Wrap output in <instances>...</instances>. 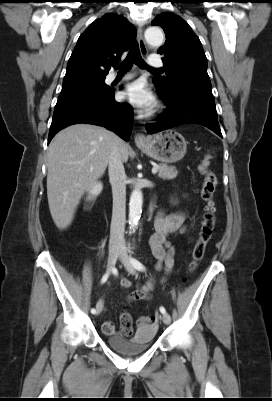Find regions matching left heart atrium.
<instances>
[{"instance_id": "39dd6f15", "label": "left heart atrium", "mask_w": 272, "mask_h": 401, "mask_svg": "<svg viewBox=\"0 0 272 401\" xmlns=\"http://www.w3.org/2000/svg\"><path fill=\"white\" fill-rule=\"evenodd\" d=\"M121 98L124 102L129 103L141 111H147L154 105L152 93L142 82H135L128 85L121 92Z\"/></svg>"}]
</instances>
